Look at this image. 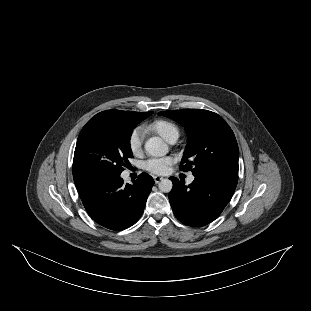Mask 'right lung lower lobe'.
Wrapping results in <instances>:
<instances>
[{"label": "right lung lower lobe", "instance_id": "1", "mask_svg": "<svg viewBox=\"0 0 311 311\" xmlns=\"http://www.w3.org/2000/svg\"><path fill=\"white\" fill-rule=\"evenodd\" d=\"M88 214L100 225L124 230L141 217L153 178L141 173L133 184H124L119 176H98L75 183Z\"/></svg>", "mask_w": 311, "mask_h": 311}]
</instances>
